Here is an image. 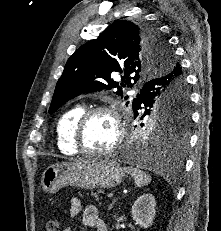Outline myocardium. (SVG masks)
<instances>
[{"instance_id": "myocardium-1", "label": "myocardium", "mask_w": 221, "mask_h": 231, "mask_svg": "<svg viewBox=\"0 0 221 231\" xmlns=\"http://www.w3.org/2000/svg\"><path fill=\"white\" fill-rule=\"evenodd\" d=\"M99 113L108 114L115 125L116 128V139L114 143L107 149L101 151H91L88 150L83 143V132L87 121L94 115ZM125 129L118 109L113 105H100L94 106L84 110V112L79 116L74 125L73 132V144L77 151L82 154L93 156V157H104L112 154L117 149L120 148L124 139Z\"/></svg>"}]
</instances>
